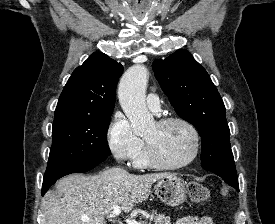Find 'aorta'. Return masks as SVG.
<instances>
[{
  "label": "aorta",
  "instance_id": "aorta-1",
  "mask_svg": "<svg viewBox=\"0 0 275 224\" xmlns=\"http://www.w3.org/2000/svg\"><path fill=\"white\" fill-rule=\"evenodd\" d=\"M147 80L146 67L137 64L125 72L118 88L120 105L136 135L143 134L153 124V117L145 103Z\"/></svg>",
  "mask_w": 275,
  "mask_h": 224
}]
</instances>
